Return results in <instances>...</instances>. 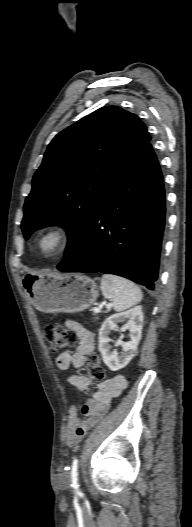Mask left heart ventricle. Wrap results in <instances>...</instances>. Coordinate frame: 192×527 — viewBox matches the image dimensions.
I'll return each instance as SVG.
<instances>
[{"instance_id":"1","label":"left heart ventricle","mask_w":192,"mask_h":527,"mask_svg":"<svg viewBox=\"0 0 192 527\" xmlns=\"http://www.w3.org/2000/svg\"><path fill=\"white\" fill-rule=\"evenodd\" d=\"M54 243V240L53 238H47L45 241H44V246L46 248H50L52 246V244Z\"/></svg>"}]
</instances>
